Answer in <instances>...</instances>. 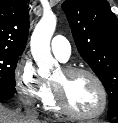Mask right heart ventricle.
Listing matches in <instances>:
<instances>
[{
	"instance_id": "obj_1",
	"label": "right heart ventricle",
	"mask_w": 118,
	"mask_h": 123,
	"mask_svg": "<svg viewBox=\"0 0 118 123\" xmlns=\"http://www.w3.org/2000/svg\"><path fill=\"white\" fill-rule=\"evenodd\" d=\"M42 102H43L44 107L48 110L56 111L58 109V107L54 101L52 91L50 90V88L48 90L46 97L44 98V100Z\"/></svg>"
}]
</instances>
